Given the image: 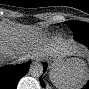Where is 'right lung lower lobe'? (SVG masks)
<instances>
[{
    "instance_id": "98d812e1",
    "label": "right lung lower lobe",
    "mask_w": 89,
    "mask_h": 89,
    "mask_svg": "<svg viewBox=\"0 0 89 89\" xmlns=\"http://www.w3.org/2000/svg\"><path fill=\"white\" fill-rule=\"evenodd\" d=\"M31 62L20 65H6L0 68V85L3 89H15L21 77L29 70Z\"/></svg>"
}]
</instances>
